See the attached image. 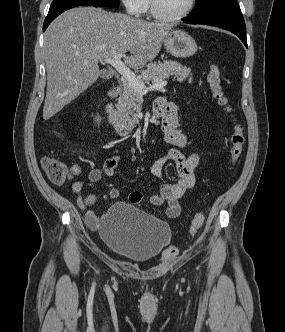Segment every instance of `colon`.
<instances>
[{"label": "colon", "mask_w": 285, "mask_h": 332, "mask_svg": "<svg viewBox=\"0 0 285 332\" xmlns=\"http://www.w3.org/2000/svg\"><path fill=\"white\" fill-rule=\"evenodd\" d=\"M207 83L211 90L213 98L216 100L219 106H221L225 112L231 115V121L234 124L233 132L230 136V148L229 156L232 163H237L241 158L244 149L245 136L242 125L238 122L236 117L232 114V108L229 104V100L224 92L222 86L221 72L216 64H212L207 74ZM42 167L48 176V178L57 185L65 183L70 178L69 168L62 161L52 157L45 156L42 159ZM205 221V214L202 211L197 212L189 227V234H195L203 225ZM178 253V249L175 245H169L164 251V258L169 259L175 257Z\"/></svg>", "instance_id": "colon-1"}]
</instances>
